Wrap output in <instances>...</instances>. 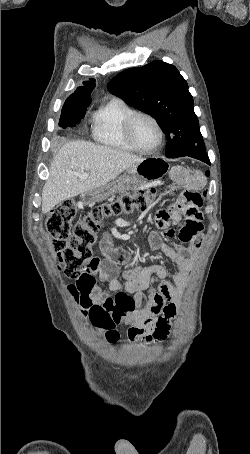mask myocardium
Segmentation results:
<instances>
[{"label":"myocardium","instance_id":"myocardium-1","mask_svg":"<svg viewBox=\"0 0 250 454\" xmlns=\"http://www.w3.org/2000/svg\"><path fill=\"white\" fill-rule=\"evenodd\" d=\"M139 118H147V119H149L155 125V127H156V129L158 131L159 141L151 149H143V148H141L137 144V142L135 140V137H134V126H135L136 121ZM124 133H125V137H126L127 142L129 143V145L135 151H137L139 153H142V154H153V153H156L162 147V145L164 143V140H165V133H164L163 127L160 124V122L158 121V119L155 116H153L152 114L147 113V112H143V111H135L134 113H132L131 115H129L127 117V119L125 120V124H124Z\"/></svg>","mask_w":250,"mask_h":454}]
</instances>
